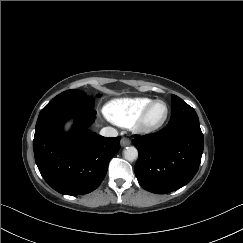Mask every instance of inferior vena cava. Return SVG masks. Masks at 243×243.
Wrapping results in <instances>:
<instances>
[{"label":"inferior vena cava","mask_w":243,"mask_h":243,"mask_svg":"<svg viewBox=\"0 0 243 243\" xmlns=\"http://www.w3.org/2000/svg\"><path fill=\"white\" fill-rule=\"evenodd\" d=\"M100 135H102L104 137H117L118 132L113 127H104L100 130Z\"/></svg>","instance_id":"1"}]
</instances>
